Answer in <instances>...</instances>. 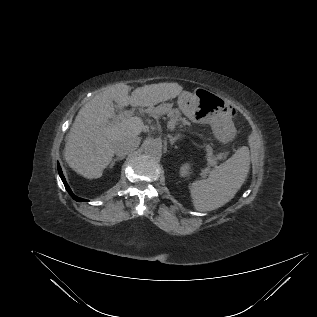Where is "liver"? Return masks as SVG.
Instances as JSON below:
<instances>
[{"instance_id":"6515ba94","label":"liver","mask_w":317,"mask_h":317,"mask_svg":"<svg viewBox=\"0 0 317 317\" xmlns=\"http://www.w3.org/2000/svg\"><path fill=\"white\" fill-rule=\"evenodd\" d=\"M178 83H158L136 88L118 84L97 94L78 112L66 136L64 156L76 173L88 179L99 178L114 156V144L128 136L138 137L143 129L141 119L115 118L114 103L120 106L152 107L177 97L182 92Z\"/></svg>"}]
</instances>
